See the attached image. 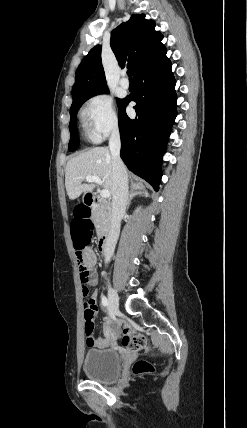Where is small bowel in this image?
Returning <instances> with one entry per match:
<instances>
[{"label":"small bowel","instance_id":"obj_1","mask_svg":"<svg viewBox=\"0 0 247 428\" xmlns=\"http://www.w3.org/2000/svg\"><path fill=\"white\" fill-rule=\"evenodd\" d=\"M84 259L85 261L88 263V265L91 268L92 271V278L91 281L89 283V286L91 287H96L97 283H98V276H97V272L95 270V265H96V255L94 253V251L92 249H86L83 253ZM97 302H98V293L97 291H94L90 297V299L87 301V303L89 305L92 306V308L94 309V314L97 311ZM105 329H109L110 327V323L109 322H105L104 325ZM112 341V337L111 335H108L105 338H92L91 340H86L87 345L91 346V347H97V348H104L107 347Z\"/></svg>","mask_w":247,"mask_h":428}]
</instances>
